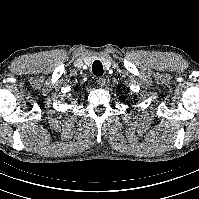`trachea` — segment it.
<instances>
[{"mask_svg":"<svg viewBox=\"0 0 199 199\" xmlns=\"http://www.w3.org/2000/svg\"><path fill=\"white\" fill-rule=\"evenodd\" d=\"M92 72L94 75L101 76L103 75V66L100 61H94L92 64Z\"/></svg>","mask_w":199,"mask_h":199,"instance_id":"1","label":"trachea"}]
</instances>
